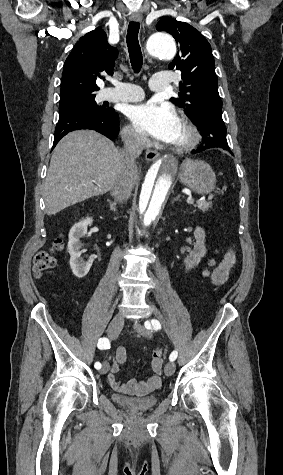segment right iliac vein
<instances>
[{"label": "right iliac vein", "instance_id": "right-iliac-vein-1", "mask_svg": "<svg viewBox=\"0 0 283 475\" xmlns=\"http://www.w3.org/2000/svg\"><path fill=\"white\" fill-rule=\"evenodd\" d=\"M123 324H124V318L122 315H117L116 317L112 319L107 330L108 336L110 339H115L119 335L120 331L122 330ZM108 370H109L108 363L103 362V366L100 370V374H106Z\"/></svg>", "mask_w": 283, "mask_h": 475}]
</instances>
